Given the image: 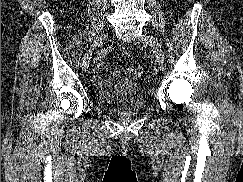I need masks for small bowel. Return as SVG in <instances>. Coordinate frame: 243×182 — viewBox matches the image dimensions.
Segmentation results:
<instances>
[{
  "mask_svg": "<svg viewBox=\"0 0 243 182\" xmlns=\"http://www.w3.org/2000/svg\"><path fill=\"white\" fill-rule=\"evenodd\" d=\"M104 58H105V53H101L94 59V71L96 73L95 83L97 85H102V83H103V81L99 75V69L101 68V66L103 64ZM131 88H132V84L128 80L117 81V84H116L117 91L128 92L131 90Z\"/></svg>",
  "mask_w": 243,
  "mask_h": 182,
  "instance_id": "small-bowel-1",
  "label": "small bowel"
}]
</instances>
